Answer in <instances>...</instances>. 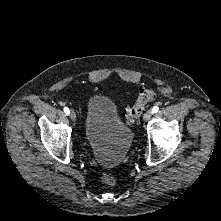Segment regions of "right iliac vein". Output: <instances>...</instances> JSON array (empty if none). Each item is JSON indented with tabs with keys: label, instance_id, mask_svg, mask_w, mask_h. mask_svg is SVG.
Listing matches in <instances>:
<instances>
[{
	"label": "right iliac vein",
	"instance_id": "1",
	"mask_svg": "<svg viewBox=\"0 0 221 221\" xmlns=\"http://www.w3.org/2000/svg\"><path fill=\"white\" fill-rule=\"evenodd\" d=\"M70 118H71L72 120H75V119H76V113H75L74 111H71V112H70Z\"/></svg>",
	"mask_w": 221,
	"mask_h": 221
}]
</instances>
